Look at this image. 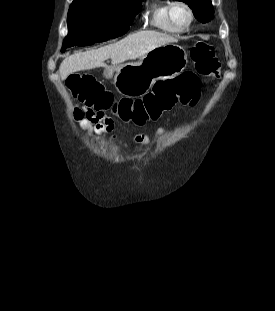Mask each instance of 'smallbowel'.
Returning a JSON list of instances; mask_svg holds the SVG:
<instances>
[{
	"mask_svg": "<svg viewBox=\"0 0 275 311\" xmlns=\"http://www.w3.org/2000/svg\"><path fill=\"white\" fill-rule=\"evenodd\" d=\"M74 117L76 120L80 121L86 128L89 134H94L97 136V140H102V135L105 133L112 132L114 128V123L111 119L105 117L102 112L94 111L92 108H75ZM170 123V119L166 120V124ZM167 132V126L159 127L155 133L151 136L141 133L134 137V143L137 147H142L145 145H150L155 143L160 137L165 135ZM114 140V146H120L121 143L115 140V136H112Z\"/></svg>",
	"mask_w": 275,
	"mask_h": 311,
	"instance_id": "1",
	"label": "small bowel"
}]
</instances>
